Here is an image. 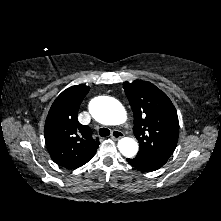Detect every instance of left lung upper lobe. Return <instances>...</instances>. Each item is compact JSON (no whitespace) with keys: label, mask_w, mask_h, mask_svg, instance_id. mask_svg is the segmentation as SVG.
Instances as JSON below:
<instances>
[{"label":"left lung upper lobe","mask_w":221,"mask_h":221,"mask_svg":"<svg viewBox=\"0 0 221 221\" xmlns=\"http://www.w3.org/2000/svg\"><path fill=\"white\" fill-rule=\"evenodd\" d=\"M123 88L134 115L133 131L140 145L138 155L164 165L178 142L179 122L174 105L150 82H124Z\"/></svg>","instance_id":"left-lung-upper-lobe-1"}]
</instances>
